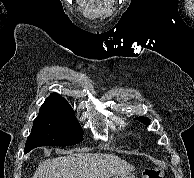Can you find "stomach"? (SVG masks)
I'll list each match as a JSON object with an SVG mask.
<instances>
[{"instance_id":"obj_1","label":"stomach","mask_w":194,"mask_h":178,"mask_svg":"<svg viewBox=\"0 0 194 178\" xmlns=\"http://www.w3.org/2000/svg\"><path fill=\"white\" fill-rule=\"evenodd\" d=\"M113 178H136V177L132 173H124V174L115 175Z\"/></svg>"}]
</instances>
